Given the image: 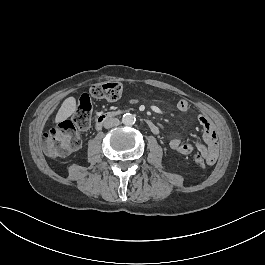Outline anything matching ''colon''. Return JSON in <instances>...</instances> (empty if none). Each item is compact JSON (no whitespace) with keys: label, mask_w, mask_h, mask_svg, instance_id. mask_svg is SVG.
Here are the masks:
<instances>
[{"label":"colon","mask_w":265,"mask_h":265,"mask_svg":"<svg viewBox=\"0 0 265 265\" xmlns=\"http://www.w3.org/2000/svg\"><path fill=\"white\" fill-rule=\"evenodd\" d=\"M123 93V89L118 82L98 83L93 85L88 93L83 94L78 102V109L72 120L65 121L55 128H52L43 137L44 149L51 157L63 156L72 147L78 144L79 135L75 126L86 128L92 121L91 111L93 110L92 98L115 101ZM195 163L201 167L207 166L202 154H196Z\"/></svg>","instance_id":"1"}]
</instances>
